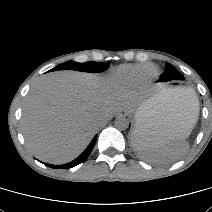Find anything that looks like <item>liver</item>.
Returning <instances> with one entry per match:
<instances>
[{
  "instance_id": "obj_1",
  "label": "liver",
  "mask_w": 212,
  "mask_h": 212,
  "mask_svg": "<svg viewBox=\"0 0 212 212\" xmlns=\"http://www.w3.org/2000/svg\"><path fill=\"white\" fill-rule=\"evenodd\" d=\"M160 105L166 106L169 113L163 128L186 137L197 114L192 116L171 98H165ZM134 108V96L127 90L113 87L93 74L58 71L42 76L30 89L23 105L21 128L35 157L63 164L86 148L101 122L118 111ZM147 126L157 130L150 123Z\"/></svg>"
}]
</instances>
